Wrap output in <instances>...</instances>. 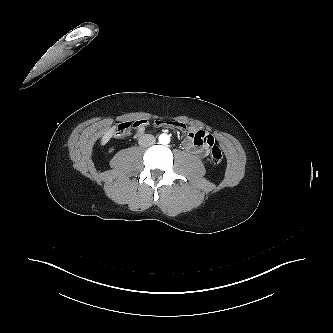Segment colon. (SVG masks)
Listing matches in <instances>:
<instances>
[{"mask_svg": "<svg viewBox=\"0 0 333 333\" xmlns=\"http://www.w3.org/2000/svg\"><path fill=\"white\" fill-rule=\"evenodd\" d=\"M135 127L134 123L131 122H123L118 125L115 136L118 138H124L131 134L132 128ZM211 161L214 164H219L223 160V153L221 149L217 145L211 146V153H210Z\"/></svg>", "mask_w": 333, "mask_h": 333, "instance_id": "obj_1", "label": "colon"}]
</instances>
